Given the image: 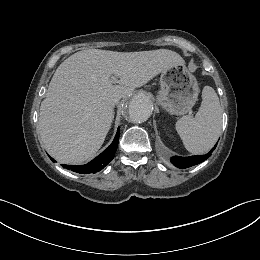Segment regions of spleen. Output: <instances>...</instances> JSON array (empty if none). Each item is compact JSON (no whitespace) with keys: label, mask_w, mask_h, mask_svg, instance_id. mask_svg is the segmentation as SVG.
Wrapping results in <instances>:
<instances>
[{"label":"spleen","mask_w":260,"mask_h":260,"mask_svg":"<svg viewBox=\"0 0 260 260\" xmlns=\"http://www.w3.org/2000/svg\"><path fill=\"white\" fill-rule=\"evenodd\" d=\"M222 113L217 94L213 88L206 86L195 116L176 123V131L187 151L202 154L214 145L220 134Z\"/></svg>","instance_id":"3e777b00"}]
</instances>
